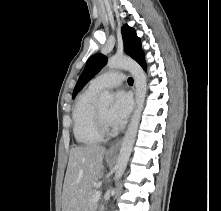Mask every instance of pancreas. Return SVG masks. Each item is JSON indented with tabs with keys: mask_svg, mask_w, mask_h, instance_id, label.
I'll return each instance as SVG.
<instances>
[{
	"mask_svg": "<svg viewBox=\"0 0 221 211\" xmlns=\"http://www.w3.org/2000/svg\"><path fill=\"white\" fill-rule=\"evenodd\" d=\"M97 191L95 189L91 190L84 202V210L83 211H95V208L97 206L96 203H93L92 197Z\"/></svg>",
	"mask_w": 221,
	"mask_h": 211,
	"instance_id": "pancreas-1",
	"label": "pancreas"
}]
</instances>
